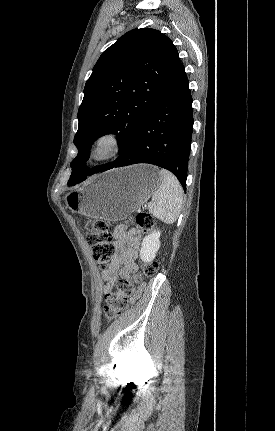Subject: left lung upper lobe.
<instances>
[{"label":"left lung upper lobe","mask_w":275,"mask_h":431,"mask_svg":"<svg viewBox=\"0 0 275 431\" xmlns=\"http://www.w3.org/2000/svg\"><path fill=\"white\" fill-rule=\"evenodd\" d=\"M179 62L172 41L151 28L125 33L102 53L85 84L78 110L79 125L74 138L78 155L70 164L71 177L98 173L112 164L91 170L84 166L92 143L100 136L116 134L119 158L125 154Z\"/></svg>","instance_id":"left-lung-upper-lobe-1"}]
</instances>
